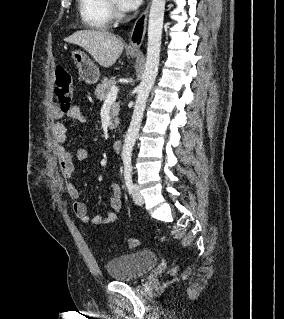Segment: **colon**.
I'll return each instance as SVG.
<instances>
[{"label": "colon", "mask_w": 284, "mask_h": 319, "mask_svg": "<svg viewBox=\"0 0 284 319\" xmlns=\"http://www.w3.org/2000/svg\"><path fill=\"white\" fill-rule=\"evenodd\" d=\"M55 95L56 103L62 112H68L73 102V84L70 73L64 67H57L55 71ZM162 242H167L168 238L161 237ZM139 246L136 238H129L126 244L127 249L133 250Z\"/></svg>", "instance_id": "obj_1"}]
</instances>
